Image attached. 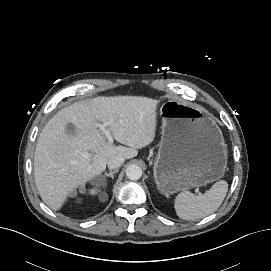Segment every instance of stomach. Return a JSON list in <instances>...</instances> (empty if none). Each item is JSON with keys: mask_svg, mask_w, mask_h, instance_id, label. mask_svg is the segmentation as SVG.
I'll list each match as a JSON object with an SVG mask.
<instances>
[{"mask_svg": "<svg viewBox=\"0 0 271 271\" xmlns=\"http://www.w3.org/2000/svg\"><path fill=\"white\" fill-rule=\"evenodd\" d=\"M162 137L153 166L159 192L204 186L220 179L227 165V149L216 122L196 105L167 101L160 108Z\"/></svg>", "mask_w": 271, "mask_h": 271, "instance_id": "0dacf381", "label": "stomach"}]
</instances>
